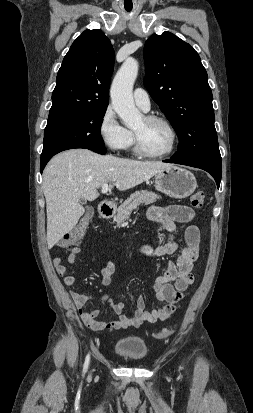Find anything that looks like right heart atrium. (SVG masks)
<instances>
[{"label":"right heart atrium","mask_w":253,"mask_h":413,"mask_svg":"<svg viewBox=\"0 0 253 413\" xmlns=\"http://www.w3.org/2000/svg\"><path fill=\"white\" fill-rule=\"evenodd\" d=\"M98 131L103 143L114 151L126 150L132 143V132L119 122L111 106L104 110L99 120Z\"/></svg>","instance_id":"1"}]
</instances>
